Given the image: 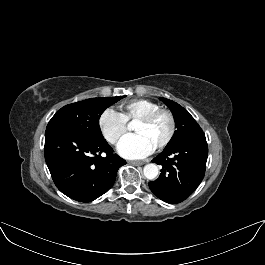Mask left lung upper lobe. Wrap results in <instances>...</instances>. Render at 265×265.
<instances>
[{"mask_svg": "<svg viewBox=\"0 0 265 265\" xmlns=\"http://www.w3.org/2000/svg\"><path fill=\"white\" fill-rule=\"evenodd\" d=\"M160 100L164 102L169 107V109H171L177 128L166 147L197 134L203 133L198 123L185 108L180 106L178 103L166 98H160Z\"/></svg>", "mask_w": 265, "mask_h": 265, "instance_id": "obj_1", "label": "left lung upper lobe"}]
</instances>
